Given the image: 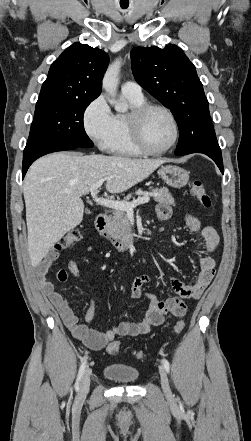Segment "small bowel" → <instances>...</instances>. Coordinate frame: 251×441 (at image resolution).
<instances>
[{
  "label": "small bowel",
  "instance_id": "c3829d8e",
  "mask_svg": "<svg viewBox=\"0 0 251 441\" xmlns=\"http://www.w3.org/2000/svg\"><path fill=\"white\" fill-rule=\"evenodd\" d=\"M156 215L159 220H167L171 217V210L165 204H160L156 208ZM184 222L193 232L200 233L201 242L206 252L214 251L219 244V237L216 230L211 226L203 225L202 220L191 214H186ZM58 252L50 251L46 257L35 266V274L43 293L51 300L58 310L65 326L72 333L74 338L81 341L85 346L92 350H100L107 344L113 342L118 336H139L146 334L151 327L161 325L164 316L168 313L181 317L186 313L185 300H196L201 297L205 289L211 283L215 274V260L209 256H203L200 259V270L192 285H187L181 280L171 277L170 285L175 296L166 299H159L155 294L146 292L149 305L145 311L144 317L140 322H122L106 332H100L89 326L95 315L93 300L90 301L85 314V322L79 323L75 311L69 305L66 297L57 292L54 285L47 281L45 275L57 259ZM68 268L73 275H78L79 269L74 260H70ZM151 281L149 274H141L135 277L130 286V296L132 299H139L142 294V288Z\"/></svg>",
  "mask_w": 251,
  "mask_h": 441
}]
</instances>
